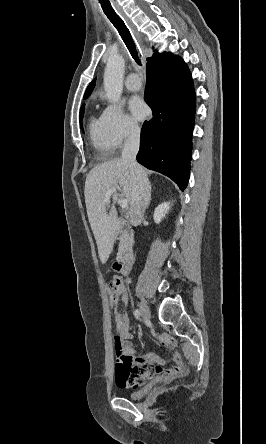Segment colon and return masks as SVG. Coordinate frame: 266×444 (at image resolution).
I'll use <instances>...</instances> for the list:
<instances>
[{
  "mask_svg": "<svg viewBox=\"0 0 266 444\" xmlns=\"http://www.w3.org/2000/svg\"><path fill=\"white\" fill-rule=\"evenodd\" d=\"M122 287L123 284L118 279H112L109 282V304L110 307L114 310V312L117 311L118 301Z\"/></svg>",
  "mask_w": 266,
  "mask_h": 444,
  "instance_id": "obj_1",
  "label": "colon"
}]
</instances>
